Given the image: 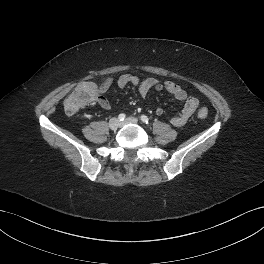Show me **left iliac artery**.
<instances>
[{
    "mask_svg": "<svg viewBox=\"0 0 264 264\" xmlns=\"http://www.w3.org/2000/svg\"><path fill=\"white\" fill-rule=\"evenodd\" d=\"M140 119H141V121H142L143 123H145V124H148V123H149V119H148V117H147L146 115H142V116L140 117Z\"/></svg>",
    "mask_w": 264,
    "mask_h": 264,
    "instance_id": "left-iliac-artery-1",
    "label": "left iliac artery"
}]
</instances>
